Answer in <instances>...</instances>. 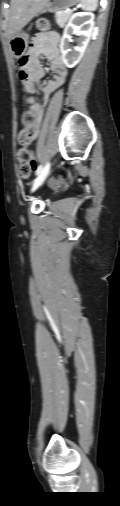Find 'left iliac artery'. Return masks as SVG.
<instances>
[{
    "mask_svg": "<svg viewBox=\"0 0 120 506\" xmlns=\"http://www.w3.org/2000/svg\"><path fill=\"white\" fill-rule=\"evenodd\" d=\"M42 169H43V166H42V165H40V166L37 168V170H36V175H38V174L42 171Z\"/></svg>",
    "mask_w": 120,
    "mask_h": 506,
    "instance_id": "left-iliac-artery-1",
    "label": "left iliac artery"
}]
</instances>
